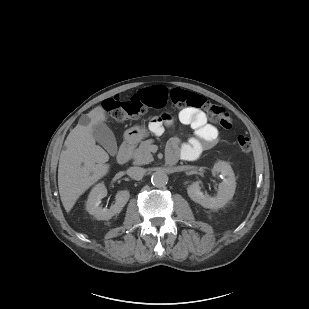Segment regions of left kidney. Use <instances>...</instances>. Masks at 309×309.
<instances>
[{"instance_id":"5707ae66","label":"left kidney","mask_w":309,"mask_h":309,"mask_svg":"<svg viewBox=\"0 0 309 309\" xmlns=\"http://www.w3.org/2000/svg\"><path fill=\"white\" fill-rule=\"evenodd\" d=\"M212 173H221L223 176V181L219 184V190L215 197H211L201 192L200 183L198 181L192 183L187 188V193L191 200L200 204L204 208L218 209L224 207L233 198L236 181L234 172L227 162H216L212 168Z\"/></svg>"}]
</instances>
